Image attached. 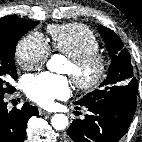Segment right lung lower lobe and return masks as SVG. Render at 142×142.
<instances>
[{
  "instance_id": "98d812e1",
  "label": "right lung lower lobe",
  "mask_w": 142,
  "mask_h": 142,
  "mask_svg": "<svg viewBox=\"0 0 142 142\" xmlns=\"http://www.w3.org/2000/svg\"><path fill=\"white\" fill-rule=\"evenodd\" d=\"M4 96H0V142H23L27 121L38 114L36 107L25 103L21 109L7 110Z\"/></svg>"
}]
</instances>
